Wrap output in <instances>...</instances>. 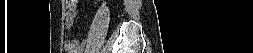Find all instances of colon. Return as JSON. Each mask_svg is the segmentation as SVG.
Listing matches in <instances>:
<instances>
[{
    "mask_svg": "<svg viewBox=\"0 0 253 53\" xmlns=\"http://www.w3.org/2000/svg\"><path fill=\"white\" fill-rule=\"evenodd\" d=\"M68 3H71L70 1H67ZM69 12L72 16H74V9L72 7L69 8Z\"/></svg>",
    "mask_w": 253,
    "mask_h": 53,
    "instance_id": "colon-1",
    "label": "colon"
}]
</instances>
